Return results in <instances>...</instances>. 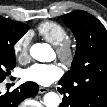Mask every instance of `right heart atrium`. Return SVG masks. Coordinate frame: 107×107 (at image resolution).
Wrapping results in <instances>:
<instances>
[{"label": "right heart atrium", "instance_id": "1", "mask_svg": "<svg viewBox=\"0 0 107 107\" xmlns=\"http://www.w3.org/2000/svg\"><path fill=\"white\" fill-rule=\"evenodd\" d=\"M30 43H31V34L30 32L24 33L15 43L13 46V51L15 56L19 61H27L30 57L29 50H30Z\"/></svg>", "mask_w": 107, "mask_h": 107}]
</instances>
